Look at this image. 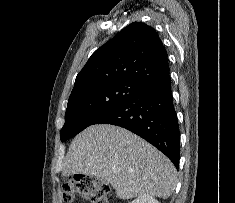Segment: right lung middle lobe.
<instances>
[{
  "mask_svg": "<svg viewBox=\"0 0 235 203\" xmlns=\"http://www.w3.org/2000/svg\"><path fill=\"white\" fill-rule=\"evenodd\" d=\"M143 84L114 80L89 85L71 93L60 131L61 141L74 137L135 94Z\"/></svg>",
  "mask_w": 235,
  "mask_h": 203,
  "instance_id": "dd1d6c3e",
  "label": "right lung middle lobe"
}]
</instances>
